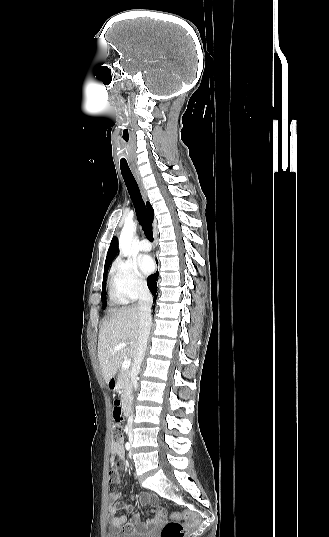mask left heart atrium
<instances>
[{
  "instance_id": "left-heart-atrium-1",
  "label": "left heart atrium",
  "mask_w": 329,
  "mask_h": 537,
  "mask_svg": "<svg viewBox=\"0 0 329 537\" xmlns=\"http://www.w3.org/2000/svg\"><path fill=\"white\" fill-rule=\"evenodd\" d=\"M138 266L141 270V272L145 275L150 274L154 269V263L150 256L148 255H141L138 258Z\"/></svg>"
}]
</instances>
